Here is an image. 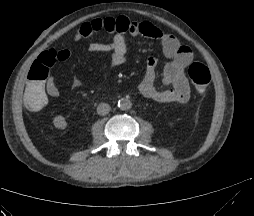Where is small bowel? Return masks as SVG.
<instances>
[{
  "label": "small bowel",
  "instance_id": "c3829d8e",
  "mask_svg": "<svg viewBox=\"0 0 254 216\" xmlns=\"http://www.w3.org/2000/svg\"><path fill=\"white\" fill-rule=\"evenodd\" d=\"M100 30L112 33V40L108 43H90L87 50L90 52H110L113 67H119L126 62V34L158 40L161 43L163 53L169 59L161 78L163 88L159 89L155 86L157 61L154 57H150L147 61L145 75L138 87L140 94L157 103H186L189 100L190 86L184 69L192 61L193 52L188 45L182 44L174 35L162 31L150 22L132 21L125 17L105 18L84 23L75 33L74 38L76 40L89 38ZM70 56L71 51L69 49L58 50V61H65ZM43 89L46 105L48 97L60 96V90L53 76L46 79Z\"/></svg>",
  "mask_w": 254,
  "mask_h": 216
}]
</instances>
